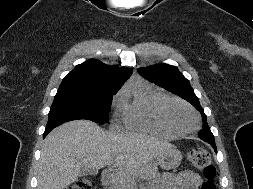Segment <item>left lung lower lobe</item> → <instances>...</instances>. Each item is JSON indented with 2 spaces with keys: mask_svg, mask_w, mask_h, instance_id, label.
<instances>
[{
  "mask_svg": "<svg viewBox=\"0 0 253 189\" xmlns=\"http://www.w3.org/2000/svg\"><path fill=\"white\" fill-rule=\"evenodd\" d=\"M199 137L208 142L214 149L215 152H217V148H216V145H215V141H214V137L213 136H207V135H204L203 133H199Z\"/></svg>",
  "mask_w": 253,
  "mask_h": 189,
  "instance_id": "obj_1",
  "label": "left lung lower lobe"
}]
</instances>
